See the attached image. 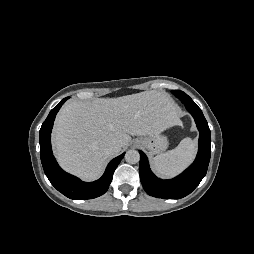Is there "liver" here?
I'll list each match as a JSON object with an SVG mask.
<instances>
[{
  "label": "liver",
  "mask_w": 254,
  "mask_h": 254,
  "mask_svg": "<svg viewBox=\"0 0 254 254\" xmlns=\"http://www.w3.org/2000/svg\"><path fill=\"white\" fill-rule=\"evenodd\" d=\"M179 123L178 108L163 91L72 101L56 117L53 144L66 171L92 181L101 176L110 157L106 153L109 144L124 148L130 135H158Z\"/></svg>",
  "instance_id": "liver-1"
}]
</instances>
